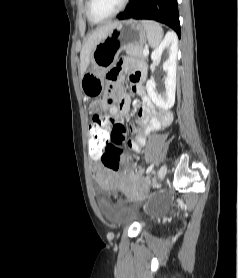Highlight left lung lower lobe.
Instances as JSON below:
<instances>
[{"label": "left lung lower lobe", "instance_id": "0a47b994", "mask_svg": "<svg viewBox=\"0 0 238 278\" xmlns=\"http://www.w3.org/2000/svg\"><path fill=\"white\" fill-rule=\"evenodd\" d=\"M119 20L150 19L170 26L180 37L177 0H130Z\"/></svg>", "mask_w": 238, "mask_h": 278}]
</instances>
